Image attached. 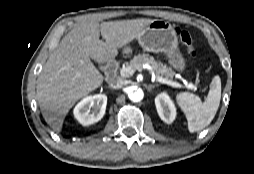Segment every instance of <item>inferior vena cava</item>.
Here are the masks:
<instances>
[{
  "instance_id": "inferior-vena-cava-1",
  "label": "inferior vena cava",
  "mask_w": 254,
  "mask_h": 174,
  "mask_svg": "<svg viewBox=\"0 0 254 174\" xmlns=\"http://www.w3.org/2000/svg\"><path fill=\"white\" fill-rule=\"evenodd\" d=\"M124 85V81L121 79L113 80L110 82L109 86L113 89H120Z\"/></svg>"
}]
</instances>
